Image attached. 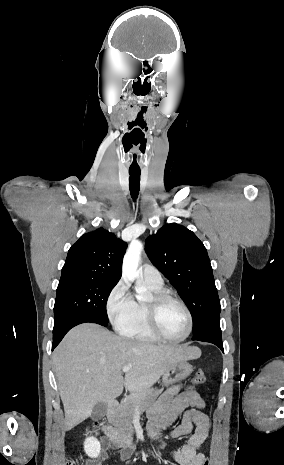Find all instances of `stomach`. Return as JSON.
<instances>
[{
    "instance_id": "obj_1",
    "label": "stomach",
    "mask_w": 284,
    "mask_h": 465,
    "mask_svg": "<svg viewBox=\"0 0 284 465\" xmlns=\"http://www.w3.org/2000/svg\"><path fill=\"white\" fill-rule=\"evenodd\" d=\"M192 371L193 367L190 363H187V361H180V363H176L174 367H171V369H168V371L164 373L163 383L165 387L174 385V383H179V381L187 379V377L191 375Z\"/></svg>"
}]
</instances>
